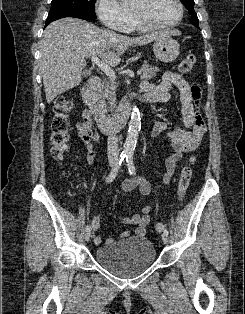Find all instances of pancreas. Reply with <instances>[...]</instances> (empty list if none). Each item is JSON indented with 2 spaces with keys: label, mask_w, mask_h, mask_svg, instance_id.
Instances as JSON below:
<instances>
[{
  "label": "pancreas",
  "mask_w": 245,
  "mask_h": 314,
  "mask_svg": "<svg viewBox=\"0 0 245 314\" xmlns=\"http://www.w3.org/2000/svg\"><path fill=\"white\" fill-rule=\"evenodd\" d=\"M140 70L142 71V75H141L142 80H151L153 77L156 76L157 72L159 71L158 67H152L149 64L142 65ZM116 87L117 86L112 85V83H109V82L101 86L97 94V103L99 106L106 109L109 103V108L111 110L115 107Z\"/></svg>",
  "instance_id": "1"
}]
</instances>
